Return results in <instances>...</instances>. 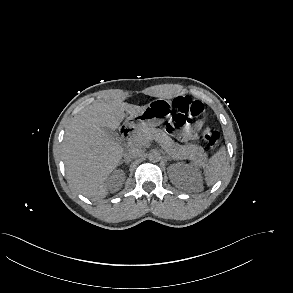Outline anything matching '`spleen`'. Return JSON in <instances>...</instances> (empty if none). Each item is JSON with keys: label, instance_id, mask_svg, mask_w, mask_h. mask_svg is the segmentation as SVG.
Listing matches in <instances>:
<instances>
[{"label": "spleen", "instance_id": "3e777b00", "mask_svg": "<svg viewBox=\"0 0 293 293\" xmlns=\"http://www.w3.org/2000/svg\"><path fill=\"white\" fill-rule=\"evenodd\" d=\"M226 166V149L222 146L204 166L205 181L208 186L217 182Z\"/></svg>", "mask_w": 293, "mask_h": 293}]
</instances>
